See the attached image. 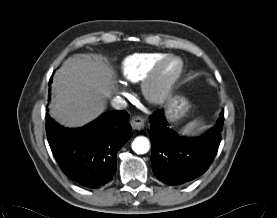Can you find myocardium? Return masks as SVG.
Here are the masks:
<instances>
[{
	"label": "myocardium",
	"mask_w": 277,
	"mask_h": 218,
	"mask_svg": "<svg viewBox=\"0 0 277 218\" xmlns=\"http://www.w3.org/2000/svg\"><path fill=\"white\" fill-rule=\"evenodd\" d=\"M168 62H174L176 69L167 79H161L163 67ZM184 64L181 58L176 55H166L160 59L151 69L149 75L143 82V92L146 99L151 103H162L173 91L175 84L180 79L183 72Z\"/></svg>",
	"instance_id": "1"
}]
</instances>
